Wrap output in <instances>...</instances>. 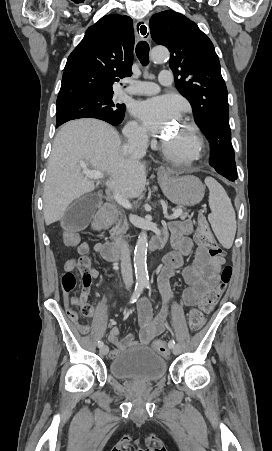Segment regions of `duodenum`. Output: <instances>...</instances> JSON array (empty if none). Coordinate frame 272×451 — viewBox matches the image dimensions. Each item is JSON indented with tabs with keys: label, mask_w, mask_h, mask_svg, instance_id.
Returning <instances> with one entry per match:
<instances>
[{
	"label": "duodenum",
	"mask_w": 272,
	"mask_h": 451,
	"mask_svg": "<svg viewBox=\"0 0 272 451\" xmlns=\"http://www.w3.org/2000/svg\"><path fill=\"white\" fill-rule=\"evenodd\" d=\"M118 212L114 205L105 204L99 211L93 227L100 230L111 225L117 218ZM164 239L156 236L149 242V249L155 250L163 246ZM100 255L107 261H117L124 255V250L121 246L115 244L101 245L99 250Z\"/></svg>",
	"instance_id": "obj_1"
}]
</instances>
